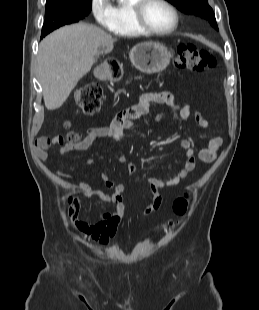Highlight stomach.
<instances>
[{
    "mask_svg": "<svg viewBox=\"0 0 259 310\" xmlns=\"http://www.w3.org/2000/svg\"><path fill=\"white\" fill-rule=\"evenodd\" d=\"M129 57L137 70L152 74L166 69L172 55L168 48L160 43L143 42L131 49Z\"/></svg>",
    "mask_w": 259,
    "mask_h": 310,
    "instance_id": "0dacf381",
    "label": "stomach"
}]
</instances>
